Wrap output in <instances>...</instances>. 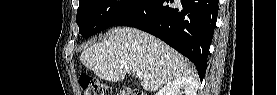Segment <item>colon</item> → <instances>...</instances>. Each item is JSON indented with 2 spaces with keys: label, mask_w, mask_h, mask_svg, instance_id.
<instances>
[{
  "label": "colon",
  "mask_w": 277,
  "mask_h": 95,
  "mask_svg": "<svg viewBox=\"0 0 277 95\" xmlns=\"http://www.w3.org/2000/svg\"><path fill=\"white\" fill-rule=\"evenodd\" d=\"M80 85L86 95H111V89L104 83L89 76L80 78ZM120 95H144L143 91L137 89L123 88Z\"/></svg>",
  "instance_id": "5ec220e1"
}]
</instances>
